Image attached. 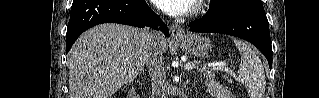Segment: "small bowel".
<instances>
[{
	"label": "small bowel",
	"mask_w": 319,
	"mask_h": 98,
	"mask_svg": "<svg viewBox=\"0 0 319 98\" xmlns=\"http://www.w3.org/2000/svg\"><path fill=\"white\" fill-rule=\"evenodd\" d=\"M209 89L214 93L215 98H232L230 93L214 82L208 84Z\"/></svg>",
	"instance_id": "obj_1"
}]
</instances>
